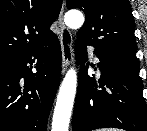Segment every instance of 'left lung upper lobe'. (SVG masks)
Here are the masks:
<instances>
[{
    "mask_svg": "<svg viewBox=\"0 0 147 131\" xmlns=\"http://www.w3.org/2000/svg\"><path fill=\"white\" fill-rule=\"evenodd\" d=\"M68 9L86 15L77 40L93 45L95 51L139 71L134 37L135 21L128 0H66Z\"/></svg>",
    "mask_w": 147,
    "mask_h": 131,
    "instance_id": "5c2ea615",
    "label": "left lung upper lobe"
}]
</instances>
